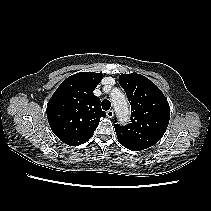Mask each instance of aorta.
<instances>
[{
    "instance_id": "762f6f07",
    "label": "aorta",
    "mask_w": 211,
    "mask_h": 211,
    "mask_svg": "<svg viewBox=\"0 0 211 211\" xmlns=\"http://www.w3.org/2000/svg\"><path fill=\"white\" fill-rule=\"evenodd\" d=\"M112 104L120 121H127L130 115L127 97L118 91L112 96Z\"/></svg>"
}]
</instances>
